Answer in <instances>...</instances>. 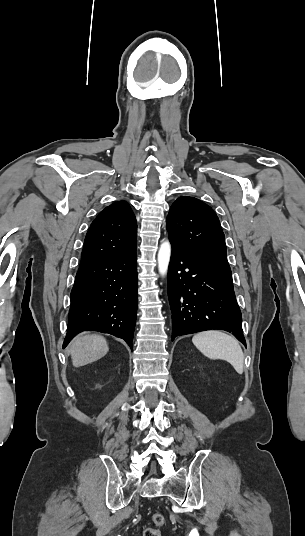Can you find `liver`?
<instances>
[{"label":"liver","instance_id":"obj_1","mask_svg":"<svg viewBox=\"0 0 305 536\" xmlns=\"http://www.w3.org/2000/svg\"><path fill=\"white\" fill-rule=\"evenodd\" d=\"M74 368L97 362L109 352L108 344L103 336H77L68 348Z\"/></svg>","mask_w":305,"mask_h":536}]
</instances>
